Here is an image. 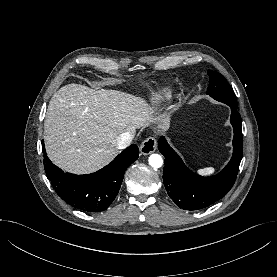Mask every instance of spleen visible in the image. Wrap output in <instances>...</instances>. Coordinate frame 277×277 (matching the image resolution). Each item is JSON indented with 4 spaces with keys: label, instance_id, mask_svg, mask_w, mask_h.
Masks as SVG:
<instances>
[{
    "label": "spleen",
    "instance_id": "3e777b00",
    "mask_svg": "<svg viewBox=\"0 0 277 277\" xmlns=\"http://www.w3.org/2000/svg\"><path fill=\"white\" fill-rule=\"evenodd\" d=\"M215 169L212 167L204 168V169H199L197 170V173L202 176H210L215 173Z\"/></svg>",
    "mask_w": 277,
    "mask_h": 277
}]
</instances>
